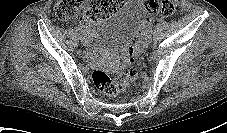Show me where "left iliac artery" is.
Here are the masks:
<instances>
[{
  "instance_id": "left-iliac-artery-1",
  "label": "left iliac artery",
  "mask_w": 227,
  "mask_h": 133,
  "mask_svg": "<svg viewBox=\"0 0 227 133\" xmlns=\"http://www.w3.org/2000/svg\"><path fill=\"white\" fill-rule=\"evenodd\" d=\"M145 32L151 36V34H152V25H148V27L146 28Z\"/></svg>"
}]
</instances>
